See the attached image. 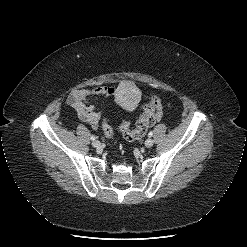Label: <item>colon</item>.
Wrapping results in <instances>:
<instances>
[{
    "mask_svg": "<svg viewBox=\"0 0 247 247\" xmlns=\"http://www.w3.org/2000/svg\"><path fill=\"white\" fill-rule=\"evenodd\" d=\"M165 105L169 106L170 104L165 103L158 96H153L149 103L144 106L143 113L139 117L134 128L126 121L120 124V131L124 138L129 141L142 138L148 128L156 123L159 118V113ZM102 129L106 137L111 138L113 136V128L108 120L103 122Z\"/></svg>",
    "mask_w": 247,
    "mask_h": 247,
    "instance_id": "5ec220e1",
    "label": "colon"
}]
</instances>
